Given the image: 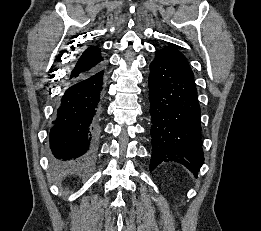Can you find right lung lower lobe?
<instances>
[{"mask_svg": "<svg viewBox=\"0 0 261 231\" xmlns=\"http://www.w3.org/2000/svg\"><path fill=\"white\" fill-rule=\"evenodd\" d=\"M105 76L102 65L70 81L60 96L49 135L56 164L83 163L95 153Z\"/></svg>", "mask_w": 261, "mask_h": 231, "instance_id": "obj_1", "label": "right lung lower lobe"}]
</instances>
